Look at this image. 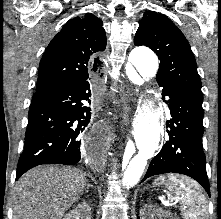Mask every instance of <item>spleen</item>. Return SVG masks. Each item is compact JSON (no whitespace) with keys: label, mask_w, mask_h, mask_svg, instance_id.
<instances>
[{"label":"spleen","mask_w":221,"mask_h":219,"mask_svg":"<svg viewBox=\"0 0 221 219\" xmlns=\"http://www.w3.org/2000/svg\"><path fill=\"white\" fill-rule=\"evenodd\" d=\"M156 184L165 185L169 192L181 201L184 219H208V205L200 185L184 176L169 174L161 176Z\"/></svg>","instance_id":"3e777b00"}]
</instances>
